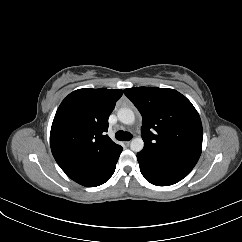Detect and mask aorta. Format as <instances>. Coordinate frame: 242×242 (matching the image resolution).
<instances>
[{"mask_svg": "<svg viewBox=\"0 0 242 242\" xmlns=\"http://www.w3.org/2000/svg\"><path fill=\"white\" fill-rule=\"evenodd\" d=\"M118 120L126 125H132L135 121V115L129 108H120L117 112ZM144 142L141 137H136L131 140L130 148L134 152H140L143 149Z\"/></svg>", "mask_w": 242, "mask_h": 242, "instance_id": "1", "label": "aorta"}]
</instances>
